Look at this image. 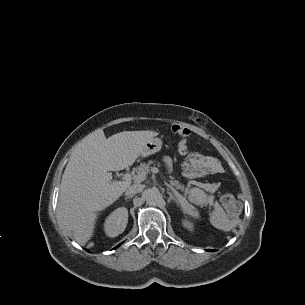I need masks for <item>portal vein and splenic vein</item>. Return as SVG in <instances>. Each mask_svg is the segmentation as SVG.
I'll return each mask as SVG.
<instances>
[{
  "instance_id": "obj_1",
  "label": "portal vein and splenic vein",
  "mask_w": 305,
  "mask_h": 305,
  "mask_svg": "<svg viewBox=\"0 0 305 305\" xmlns=\"http://www.w3.org/2000/svg\"><path fill=\"white\" fill-rule=\"evenodd\" d=\"M151 171L153 173H158L159 172L158 168H156V167H153L151 169ZM132 179H134L138 182H142L146 179V174L141 173V174H138V175H131L129 173H126V174L123 175V180H125V181H131ZM179 197L183 202L187 203V200L183 196L179 195Z\"/></svg>"
}]
</instances>
